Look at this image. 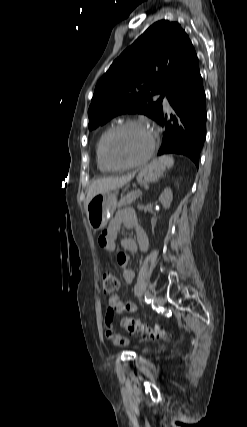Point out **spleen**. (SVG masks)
<instances>
[{
    "label": "spleen",
    "mask_w": 247,
    "mask_h": 427,
    "mask_svg": "<svg viewBox=\"0 0 247 427\" xmlns=\"http://www.w3.org/2000/svg\"><path fill=\"white\" fill-rule=\"evenodd\" d=\"M158 162L168 168H171L174 165L173 157L168 155L159 157Z\"/></svg>",
    "instance_id": "obj_1"
}]
</instances>
